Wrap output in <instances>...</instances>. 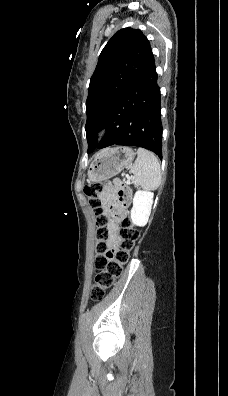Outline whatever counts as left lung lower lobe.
<instances>
[{
  "label": "left lung lower lobe",
  "mask_w": 228,
  "mask_h": 396,
  "mask_svg": "<svg viewBox=\"0 0 228 396\" xmlns=\"http://www.w3.org/2000/svg\"><path fill=\"white\" fill-rule=\"evenodd\" d=\"M116 114L105 126L98 148L138 146L162 158L161 94L152 55L144 70L117 103Z\"/></svg>",
  "instance_id": "1"
}]
</instances>
